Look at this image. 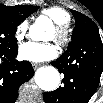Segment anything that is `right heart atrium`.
<instances>
[{"label": "right heart atrium", "instance_id": "d8ad5b80", "mask_svg": "<svg viewBox=\"0 0 103 103\" xmlns=\"http://www.w3.org/2000/svg\"><path fill=\"white\" fill-rule=\"evenodd\" d=\"M27 30H28V22L26 20L19 23L15 30L16 40L17 41L23 40L24 37L26 36Z\"/></svg>", "mask_w": 103, "mask_h": 103}]
</instances>
